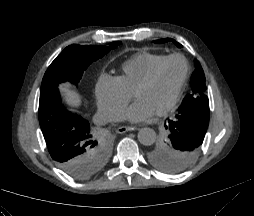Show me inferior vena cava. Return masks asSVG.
I'll list each match as a JSON object with an SVG mask.
<instances>
[{
    "instance_id": "obj_1",
    "label": "inferior vena cava",
    "mask_w": 254,
    "mask_h": 216,
    "mask_svg": "<svg viewBox=\"0 0 254 216\" xmlns=\"http://www.w3.org/2000/svg\"><path fill=\"white\" fill-rule=\"evenodd\" d=\"M122 115L113 108L99 106L93 120L96 124L103 125L108 122L122 121Z\"/></svg>"
}]
</instances>
